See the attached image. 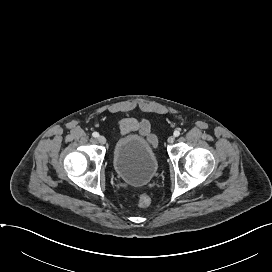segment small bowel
I'll return each mask as SVG.
<instances>
[{
    "instance_id": "c3829d8e",
    "label": "small bowel",
    "mask_w": 272,
    "mask_h": 272,
    "mask_svg": "<svg viewBox=\"0 0 272 272\" xmlns=\"http://www.w3.org/2000/svg\"><path fill=\"white\" fill-rule=\"evenodd\" d=\"M121 135L137 131L145 136L151 143L156 144V137L151 133L150 124L145 119H137L134 117L124 118L119 123Z\"/></svg>"
}]
</instances>
